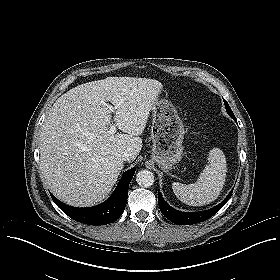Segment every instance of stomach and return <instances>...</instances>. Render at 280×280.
I'll return each instance as SVG.
<instances>
[{"mask_svg":"<svg viewBox=\"0 0 280 280\" xmlns=\"http://www.w3.org/2000/svg\"><path fill=\"white\" fill-rule=\"evenodd\" d=\"M151 158L162 170H171L183 157L184 125L173 104L156 100L153 108Z\"/></svg>","mask_w":280,"mask_h":280,"instance_id":"stomach-1","label":"stomach"}]
</instances>
